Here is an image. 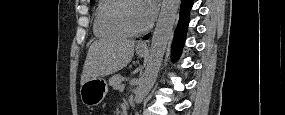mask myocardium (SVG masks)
I'll return each instance as SVG.
<instances>
[{
	"label": "myocardium",
	"mask_w": 285,
	"mask_h": 115,
	"mask_svg": "<svg viewBox=\"0 0 285 115\" xmlns=\"http://www.w3.org/2000/svg\"><path fill=\"white\" fill-rule=\"evenodd\" d=\"M132 2H137L135 0H122L121 3L118 5L116 12L114 14V19L118 26L128 35H137L145 32L148 29V26H144L140 29L132 28L125 19V10L128 5Z\"/></svg>",
	"instance_id": "1"
}]
</instances>
